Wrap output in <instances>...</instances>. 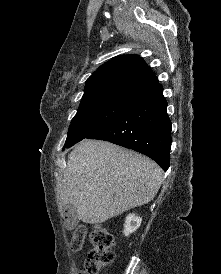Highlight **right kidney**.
I'll return each instance as SVG.
<instances>
[{
  "instance_id": "right-kidney-1",
  "label": "right kidney",
  "mask_w": 221,
  "mask_h": 274,
  "mask_svg": "<svg viewBox=\"0 0 221 274\" xmlns=\"http://www.w3.org/2000/svg\"><path fill=\"white\" fill-rule=\"evenodd\" d=\"M142 218L136 216L135 214H129L126 217L124 224V234L129 236L131 233L135 232L141 225Z\"/></svg>"
}]
</instances>
